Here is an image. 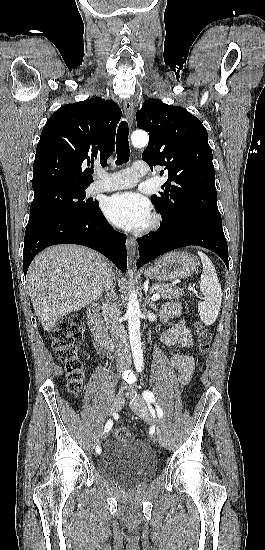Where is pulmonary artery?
Returning a JSON list of instances; mask_svg holds the SVG:
<instances>
[{
    "mask_svg": "<svg viewBox=\"0 0 265 550\" xmlns=\"http://www.w3.org/2000/svg\"><path fill=\"white\" fill-rule=\"evenodd\" d=\"M148 170L143 161H135L131 168L123 169L112 174L109 179L98 180L88 187V193L97 194L101 192L114 191L133 187L138 180L147 174ZM100 178H104L103 174H98Z\"/></svg>",
    "mask_w": 265,
    "mask_h": 550,
    "instance_id": "pulmonary-artery-1",
    "label": "pulmonary artery"
}]
</instances>
